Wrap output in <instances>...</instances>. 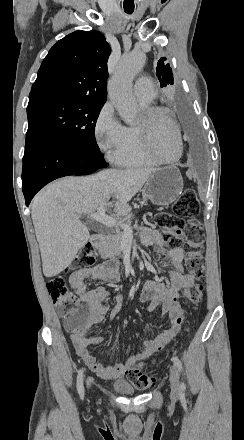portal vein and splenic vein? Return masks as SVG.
<instances>
[{
	"instance_id": "portal-vein-and-splenic-vein-1",
	"label": "portal vein and splenic vein",
	"mask_w": 244,
	"mask_h": 440,
	"mask_svg": "<svg viewBox=\"0 0 244 440\" xmlns=\"http://www.w3.org/2000/svg\"><path fill=\"white\" fill-rule=\"evenodd\" d=\"M80 216H78L77 220H79ZM87 218L90 220H95V222H100V224H104V226H109V228H118L120 226L121 230L124 232H132V228L130 224H126V222H120V218H111V216H106L104 210H98L96 214H88Z\"/></svg>"
}]
</instances>
